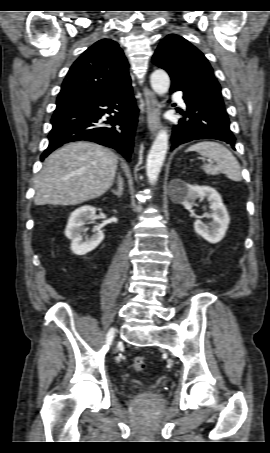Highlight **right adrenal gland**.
<instances>
[{
    "label": "right adrenal gland",
    "mask_w": 270,
    "mask_h": 453,
    "mask_svg": "<svg viewBox=\"0 0 270 453\" xmlns=\"http://www.w3.org/2000/svg\"><path fill=\"white\" fill-rule=\"evenodd\" d=\"M117 190H114L112 189V193L114 195H116L118 198H120L123 194V190H124V181H123V178L119 175L118 178H117Z\"/></svg>",
    "instance_id": "2a0ac1e0"
}]
</instances>
